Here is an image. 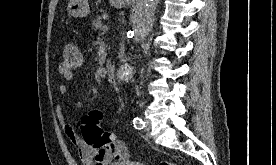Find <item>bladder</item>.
<instances>
[{
    "mask_svg": "<svg viewBox=\"0 0 276 165\" xmlns=\"http://www.w3.org/2000/svg\"><path fill=\"white\" fill-rule=\"evenodd\" d=\"M110 165H145L143 163H138V162H134V161H128V160H121V161H116L113 162Z\"/></svg>",
    "mask_w": 276,
    "mask_h": 165,
    "instance_id": "1",
    "label": "bladder"
}]
</instances>
